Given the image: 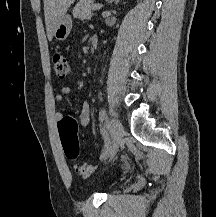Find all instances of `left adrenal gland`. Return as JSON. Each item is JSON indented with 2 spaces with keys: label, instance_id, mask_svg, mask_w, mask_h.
<instances>
[{
  "label": "left adrenal gland",
  "instance_id": "a2214340",
  "mask_svg": "<svg viewBox=\"0 0 216 217\" xmlns=\"http://www.w3.org/2000/svg\"><path fill=\"white\" fill-rule=\"evenodd\" d=\"M112 1H115V4H118L120 0H112Z\"/></svg>",
  "mask_w": 216,
  "mask_h": 217
}]
</instances>
